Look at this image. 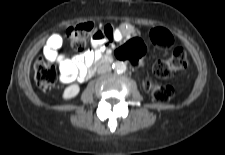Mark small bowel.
Returning <instances> with one entry per match:
<instances>
[{
    "label": "small bowel",
    "instance_id": "c3829d8e",
    "mask_svg": "<svg viewBox=\"0 0 225 155\" xmlns=\"http://www.w3.org/2000/svg\"><path fill=\"white\" fill-rule=\"evenodd\" d=\"M129 27H122L115 32L111 26L97 31L92 36L94 50H88L72 59L66 58L61 52L62 38L58 34L51 35L43 47L44 57L50 62H57L60 69V80L63 83H71L75 80L82 81L88 74V68L98 58L100 49L115 38H122L130 33Z\"/></svg>",
    "mask_w": 225,
    "mask_h": 155
}]
</instances>
